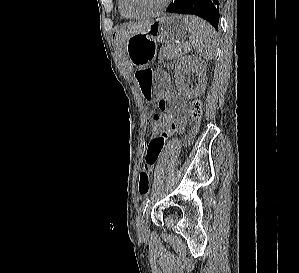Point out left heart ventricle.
<instances>
[{"instance_id":"b2bd125f","label":"left heart ventricle","mask_w":299,"mask_h":273,"mask_svg":"<svg viewBox=\"0 0 299 273\" xmlns=\"http://www.w3.org/2000/svg\"><path fill=\"white\" fill-rule=\"evenodd\" d=\"M163 0H125L127 10L134 14H142L155 9Z\"/></svg>"}]
</instances>
